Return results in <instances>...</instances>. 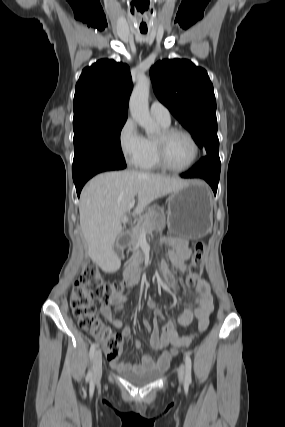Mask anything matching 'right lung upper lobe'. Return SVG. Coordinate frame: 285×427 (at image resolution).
Masks as SVG:
<instances>
[{
  "label": "right lung upper lobe",
  "mask_w": 285,
  "mask_h": 427,
  "mask_svg": "<svg viewBox=\"0 0 285 427\" xmlns=\"http://www.w3.org/2000/svg\"><path fill=\"white\" fill-rule=\"evenodd\" d=\"M132 87L126 64L109 59L97 61L83 69L76 84L74 118L88 115L127 117Z\"/></svg>",
  "instance_id": "right-lung-upper-lobe-1"
}]
</instances>
